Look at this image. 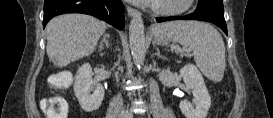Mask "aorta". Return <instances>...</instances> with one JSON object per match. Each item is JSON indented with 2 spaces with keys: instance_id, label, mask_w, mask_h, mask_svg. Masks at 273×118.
I'll list each match as a JSON object with an SVG mask.
<instances>
[{
  "instance_id": "aorta-1",
  "label": "aorta",
  "mask_w": 273,
  "mask_h": 118,
  "mask_svg": "<svg viewBox=\"0 0 273 118\" xmlns=\"http://www.w3.org/2000/svg\"><path fill=\"white\" fill-rule=\"evenodd\" d=\"M130 50L134 64L140 67L145 60L147 44L144 34V23L140 16H135L129 25Z\"/></svg>"
}]
</instances>
